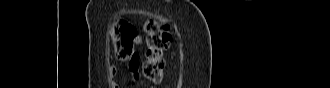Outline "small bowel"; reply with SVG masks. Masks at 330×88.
I'll use <instances>...</instances> for the list:
<instances>
[{"instance_id":"1","label":"small bowel","mask_w":330,"mask_h":88,"mask_svg":"<svg viewBox=\"0 0 330 88\" xmlns=\"http://www.w3.org/2000/svg\"><path fill=\"white\" fill-rule=\"evenodd\" d=\"M142 42V38L140 35H136L134 38V45H140ZM130 64H129V69L131 71L132 74V78L134 79V81H139L140 79V74H139V60L137 55H135L134 57H132L129 60ZM119 73V69L116 66H112L109 69V73H108V77L111 81V86L113 88H119V84L117 82L114 81V78L117 76V74Z\"/></svg>"}]
</instances>
